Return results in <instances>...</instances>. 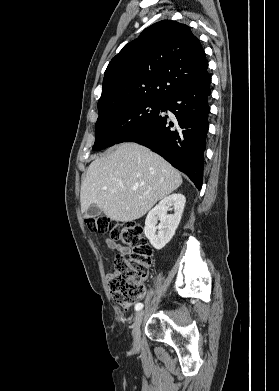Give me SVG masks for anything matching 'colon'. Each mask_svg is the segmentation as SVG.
<instances>
[{"label":"colon","instance_id":"1","mask_svg":"<svg viewBox=\"0 0 279 391\" xmlns=\"http://www.w3.org/2000/svg\"><path fill=\"white\" fill-rule=\"evenodd\" d=\"M89 230L107 232L112 240L131 248L129 256L117 255L108 284L113 300L123 308L141 301L146 294L144 285L152 263L153 250L141 224L135 221L117 222L104 216L88 217Z\"/></svg>","mask_w":279,"mask_h":391}]
</instances>
